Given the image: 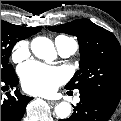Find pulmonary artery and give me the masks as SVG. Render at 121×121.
I'll return each mask as SVG.
<instances>
[{"instance_id": "1", "label": "pulmonary artery", "mask_w": 121, "mask_h": 121, "mask_svg": "<svg viewBox=\"0 0 121 121\" xmlns=\"http://www.w3.org/2000/svg\"><path fill=\"white\" fill-rule=\"evenodd\" d=\"M55 45L57 47L58 53L62 57H69L76 53L78 46L74 40L69 39H56ZM80 98L76 97V101L79 102Z\"/></svg>"}]
</instances>
